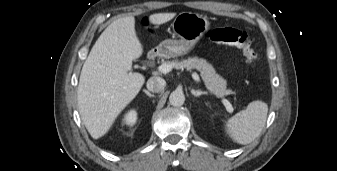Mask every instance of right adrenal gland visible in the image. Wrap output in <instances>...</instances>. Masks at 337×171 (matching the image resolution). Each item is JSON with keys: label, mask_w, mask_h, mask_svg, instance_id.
<instances>
[{"label": "right adrenal gland", "mask_w": 337, "mask_h": 171, "mask_svg": "<svg viewBox=\"0 0 337 171\" xmlns=\"http://www.w3.org/2000/svg\"><path fill=\"white\" fill-rule=\"evenodd\" d=\"M143 92L145 93V94H147L149 97H154V95L153 94H151L149 91H147V90H143Z\"/></svg>", "instance_id": "obj_1"}]
</instances>
